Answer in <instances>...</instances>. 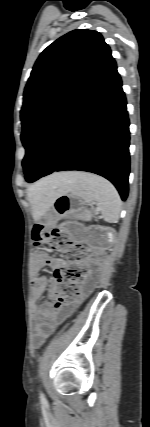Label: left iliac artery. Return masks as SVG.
<instances>
[{
	"label": "left iliac artery",
	"mask_w": 150,
	"mask_h": 427,
	"mask_svg": "<svg viewBox=\"0 0 150 427\" xmlns=\"http://www.w3.org/2000/svg\"><path fill=\"white\" fill-rule=\"evenodd\" d=\"M40 398L42 399V400H44V395L41 393L40 394Z\"/></svg>",
	"instance_id": "left-iliac-artery-1"
}]
</instances>
